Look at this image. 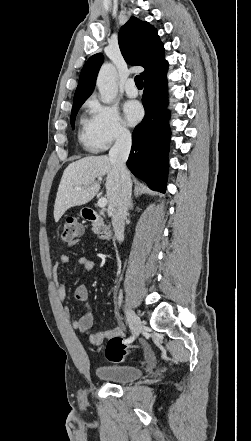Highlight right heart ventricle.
<instances>
[{"label":"right heart ventricle","instance_id":"right-heart-ventricle-1","mask_svg":"<svg viewBox=\"0 0 251 441\" xmlns=\"http://www.w3.org/2000/svg\"><path fill=\"white\" fill-rule=\"evenodd\" d=\"M78 138L86 148L90 150H98L90 130L89 120L85 118L81 119V128L79 130Z\"/></svg>","mask_w":251,"mask_h":441}]
</instances>
